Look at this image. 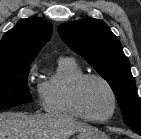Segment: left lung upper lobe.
<instances>
[{
	"instance_id": "obj_1",
	"label": "left lung upper lobe",
	"mask_w": 141,
	"mask_h": 139,
	"mask_svg": "<svg viewBox=\"0 0 141 139\" xmlns=\"http://www.w3.org/2000/svg\"><path fill=\"white\" fill-rule=\"evenodd\" d=\"M62 40L109 83L125 124L141 129V98L136 91L130 63L119 39L99 19L86 18L58 26Z\"/></svg>"
}]
</instances>
